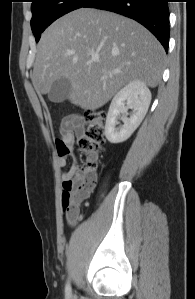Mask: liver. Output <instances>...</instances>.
<instances>
[{
	"label": "liver",
	"instance_id": "6515ba94",
	"mask_svg": "<svg viewBox=\"0 0 195 299\" xmlns=\"http://www.w3.org/2000/svg\"><path fill=\"white\" fill-rule=\"evenodd\" d=\"M164 59L162 45L136 21L85 7L62 16L44 31L31 79L39 94L49 93L54 81L69 79V100L93 111L131 81L156 87Z\"/></svg>",
	"mask_w": 195,
	"mask_h": 299
}]
</instances>
